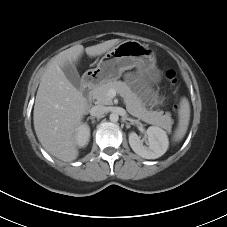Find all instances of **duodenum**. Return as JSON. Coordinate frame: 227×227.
I'll list each match as a JSON object with an SVG mask.
<instances>
[{
    "mask_svg": "<svg viewBox=\"0 0 227 227\" xmlns=\"http://www.w3.org/2000/svg\"><path fill=\"white\" fill-rule=\"evenodd\" d=\"M95 80L93 77L87 76L82 82V92L86 102L89 101L90 93L94 87Z\"/></svg>",
    "mask_w": 227,
    "mask_h": 227,
    "instance_id": "duodenum-1",
    "label": "duodenum"
}]
</instances>
